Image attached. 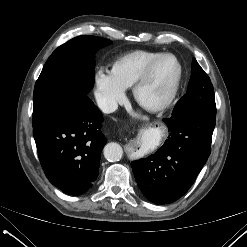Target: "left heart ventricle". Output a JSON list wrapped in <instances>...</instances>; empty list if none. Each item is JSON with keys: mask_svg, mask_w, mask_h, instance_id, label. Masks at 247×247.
<instances>
[{"mask_svg": "<svg viewBox=\"0 0 247 247\" xmlns=\"http://www.w3.org/2000/svg\"><path fill=\"white\" fill-rule=\"evenodd\" d=\"M177 72L172 58L161 60L154 68L148 82L142 89V98L147 102H157L169 92Z\"/></svg>", "mask_w": 247, "mask_h": 247, "instance_id": "1", "label": "left heart ventricle"}]
</instances>
